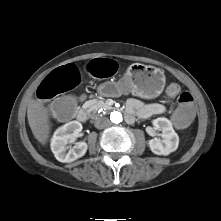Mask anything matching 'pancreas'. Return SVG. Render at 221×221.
<instances>
[{
	"label": "pancreas",
	"mask_w": 221,
	"mask_h": 221,
	"mask_svg": "<svg viewBox=\"0 0 221 221\" xmlns=\"http://www.w3.org/2000/svg\"><path fill=\"white\" fill-rule=\"evenodd\" d=\"M85 109H87V111L90 112H97L100 108H107L106 103L103 100H99V99H92L89 100L88 102H86Z\"/></svg>",
	"instance_id": "pancreas-1"
}]
</instances>
